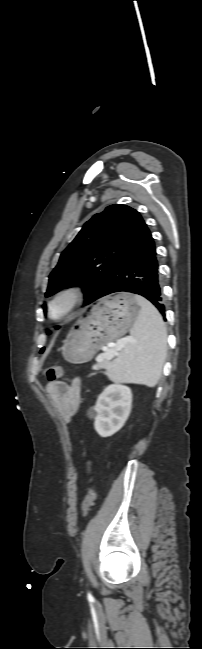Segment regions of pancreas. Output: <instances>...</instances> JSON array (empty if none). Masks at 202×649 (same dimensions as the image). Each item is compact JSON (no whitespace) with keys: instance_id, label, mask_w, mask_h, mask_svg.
<instances>
[{"instance_id":"cf45deb5","label":"pancreas","mask_w":202,"mask_h":649,"mask_svg":"<svg viewBox=\"0 0 202 649\" xmlns=\"http://www.w3.org/2000/svg\"><path fill=\"white\" fill-rule=\"evenodd\" d=\"M110 364H111L110 360L104 359L103 361L98 362V364L96 366H97L98 369L108 370V368L110 367Z\"/></svg>"}]
</instances>
